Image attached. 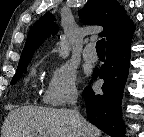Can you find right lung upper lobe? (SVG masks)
Instances as JSON below:
<instances>
[{"label": "right lung upper lobe", "instance_id": "1", "mask_svg": "<svg viewBox=\"0 0 144 137\" xmlns=\"http://www.w3.org/2000/svg\"><path fill=\"white\" fill-rule=\"evenodd\" d=\"M79 16L85 24H97L104 27L100 35L106 36L107 49L131 39L134 25L127 17L124 8L116 0H88L83 9L79 11ZM57 31L58 26L53 22L50 14L36 21L29 31L19 65L30 62L34 50L41 45L44 39Z\"/></svg>", "mask_w": 144, "mask_h": 137}]
</instances>
